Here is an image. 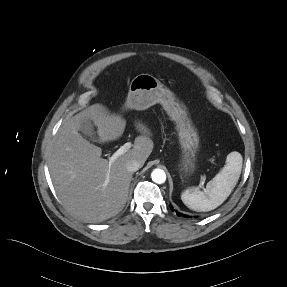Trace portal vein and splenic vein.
<instances>
[{"label":"portal vein and splenic vein","mask_w":287,"mask_h":287,"mask_svg":"<svg viewBox=\"0 0 287 287\" xmlns=\"http://www.w3.org/2000/svg\"><path fill=\"white\" fill-rule=\"evenodd\" d=\"M131 146H132L131 142H127L123 146H121L117 151H115L109 158V165H111L120 156L124 155L131 148ZM203 184L204 182L201 183L200 187H202Z\"/></svg>","instance_id":"obj_1"}]
</instances>
